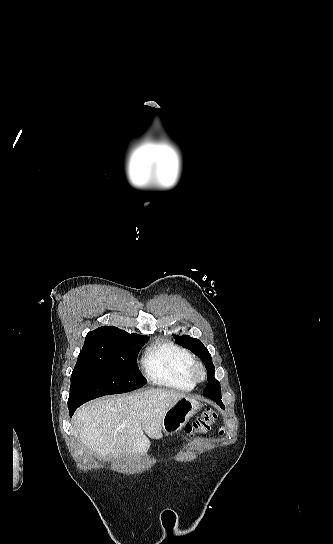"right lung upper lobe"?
<instances>
[{
    "instance_id": "obj_1",
    "label": "right lung upper lobe",
    "mask_w": 333,
    "mask_h": 544,
    "mask_svg": "<svg viewBox=\"0 0 333 544\" xmlns=\"http://www.w3.org/2000/svg\"><path fill=\"white\" fill-rule=\"evenodd\" d=\"M147 336L138 334H129L114 326H102L87 334L85 343L81 352L102 353L111 347V345L122 339H143Z\"/></svg>"
}]
</instances>
